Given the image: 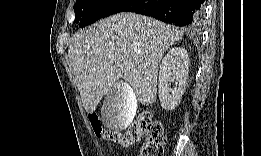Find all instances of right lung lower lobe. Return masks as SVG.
<instances>
[{"label":"right lung lower lobe","mask_w":261,"mask_h":156,"mask_svg":"<svg viewBox=\"0 0 261 156\" xmlns=\"http://www.w3.org/2000/svg\"><path fill=\"white\" fill-rule=\"evenodd\" d=\"M123 11L143 14L180 27L193 28L201 21L203 0H124L109 15Z\"/></svg>","instance_id":"98d812e1"}]
</instances>
